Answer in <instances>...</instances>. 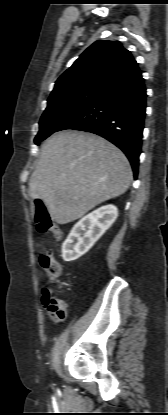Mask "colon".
<instances>
[{"label": "colon", "instance_id": "obj_1", "mask_svg": "<svg viewBox=\"0 0 168 415\" xmlns=\"http://www.w3.org/2000/svg\"><path fill=\"white\" fill-rule=\"evenodd\" d=\"M35 224L39 233H51L57 240L61 239L62 231L52 222L48 210L42 203L36 205ZM40 264L50 280L61 277L63 273L62 266L50 253L45 252L40 255Z\"/></svg>", "mask_w": 168, "mask_h": 415}]
</instances>
